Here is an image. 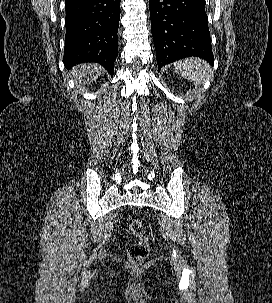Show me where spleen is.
I'll return each instance as SVG.
<instances>
[{
    "instance_id": "1",
    "label": "spleen",
    "mask_w": 272,
    "mask_h": 303,
    "mask_svg": "<svg viewBox=\"0 0 272 303\" xmlns=\"http://www.w3.org/2000/svg\"><path fill=\"white\" fill-rule=\"evenodd\" d=\"M175 70L182 77L193 82L195 86L209 80L211 68L200 58H186L175 63Z\"/></svg>"
}]
</instances>
